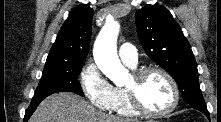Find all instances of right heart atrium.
Here are the masks:
<instances>
[{
    "mask_svg": "<svg viewBox=\"0 0 221 122\" xmlns=\"http://www.w3.org/2000/svg\"><path fill=\"white\" fill-rule=\"evenodd\" d=\"M86 98L100 109H109L113 99V86L103 77L97 65L88 61L79 76Z\"/></svg>",
    "mask_w": 221,
    "mask_h": 122,
    "instance_id": "right-heart-atrium-1",
    "label": "right heart atrium"
}]
</instances>
